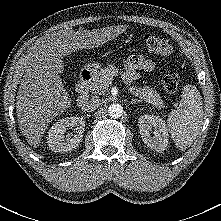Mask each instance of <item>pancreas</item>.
Here are the masks:
<instances>
[{"label":"pancreas","instance_id":"cf45deb5","mask_svg":"<svg viewBox=\"0 0 221 221\" xmlns=\"http://www.w3.org/2000/svg\"><path fill=\"white\" fill-rule=\"evenodd\" d=\"M118 71L119 69L113 64H109L105 68L100 69L93 75V79L88 85L90 92L95 95L105 94L110 82L113 77L118 74ZM128 90L132 95L139 97L159 109L164 106V102L158 92L148 86L130 87Z\"/></svg>","mask_w":221,"mask_h":221}]
</instances>
